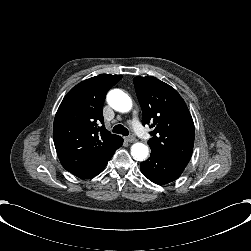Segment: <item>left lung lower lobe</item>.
<instances>
[{"label":"left lung lower lobe","mask_w":251,"mask_h":251,"mask_svg":"<svg viewBox=\"0 0 251 251\" xmlns=\"http://www.w3.org/2000/svg\"><path fill=\"white\" fill-rule=\"evenodd\" d=\"M186 165L151 152L150 157L140 164V170L152 182L164 185L179 178Z\"/></svg>","instance_id":"0a47b994"}]
</instances>
